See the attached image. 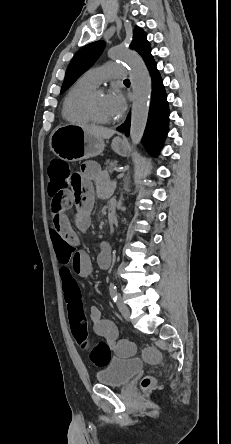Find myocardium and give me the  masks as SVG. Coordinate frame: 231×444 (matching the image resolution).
I'll return each mask as SVG.
<instances>
[{"instance_id":"obj_1","label":"myocardium","mask_w":231,"mask_h":444,"mask_svg":"<svg viewBox=\"0 0 231 444\" xmlns=\"http://www.w3.org/2000/svg\"><path fill=\"white\" fill-rule=\"evenodd\" d=\"M100 93H105L104 89L95 88L94 90H92L88 94V96L85 100V105H84L85 112H86L87 116L89 117V119L91 120V122H93V123L101 124V125L112 124L116 121L115 119H111V120L101 119L95 113L94 99H95L96 95L100 94Z\"/></svg>"}]
</instances>
